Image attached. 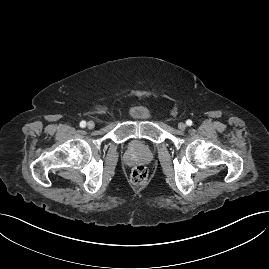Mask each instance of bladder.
Segmentation results:
<instances>
[{
	"mask_svg": "<svg viewBox=\"0 0 269 269\" xmlns=\"http://www.w3.org/2000/svg\"><path fill=\"white\" fill-rule=\"evenodd\" d=\"M131 115L139 120H146L151 117V111L149 108L142 104H137L131 108Z\"/></svg>",
	"mask_w": 269,
	"mask_h": 269,
	"instance_id": "1",
	"label": "bladder"
}]
</instances>
